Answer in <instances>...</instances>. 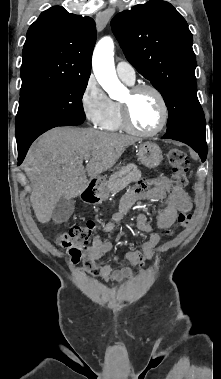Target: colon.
Wrapping results in <instances>:
<instances>
[{
  "label": "colon",
  "mask_w": 221,
  "mask_h": 379,
  "mask_svg": "<svg viewBox=\"0 0 221 379\" xmlns=\"http://www.w3.org/2000/svg\"><path fill=\"white\" fill-rule=\"evenodd\" d=\"M168 161L173 173V183L183 188L188 183L189 161L186 153L177 148L170 149ZM190 220L189 213L179 214L178 223L181 226L188 225ZM92 229V223L88 222L85 225H73L58 235V244L69 250L73 263H78L83 258L84 252L88 249Z\"/></svg>",
  "instance_id": "colon-1"
}]
</instances>
